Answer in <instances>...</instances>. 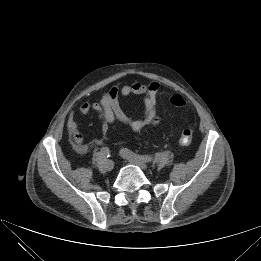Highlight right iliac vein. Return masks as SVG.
Here are the masks:
<instances>
[{
    "label": "right iliac vein",
    "instance_id": "obj_1",
    "mask_svg": "<svg viewBox=\"0 0 261 261\" xmlns=\"http://www.w3.org/2000/svg\"><path fill=\"white\" fill-rule=\"evenodd\" d=\"M107 170H112L114 168V162L112 160H107L105 163Z\"/></svg>",
    "mask_w": 261,
    "mask_h": 261
}]
</instances>
